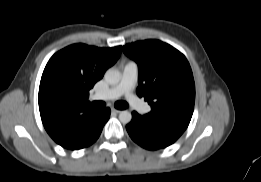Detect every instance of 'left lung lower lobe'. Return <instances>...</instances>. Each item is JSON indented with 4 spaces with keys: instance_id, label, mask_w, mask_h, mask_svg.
Wrapping results in <instances>:
<instances>
[{
    "instance_id": "left-lung-lower-lobe-1",
    "label": "left lung lower lobe",
    "mask_w": 261,
    "mask_h": 182,
    "mask_svg": "<svg viewBox=\"0 0 261 182\" xmlns=\"http://www.w3.org/2000/svg\"><path fill=\"white\" fill-rule=\"evenodd\" d=\"M126 129L133 141L148 150H157L171 145L185 131L169 125L149 122L137 112H132V121Z\"/></svg>"
}]
</instances>
